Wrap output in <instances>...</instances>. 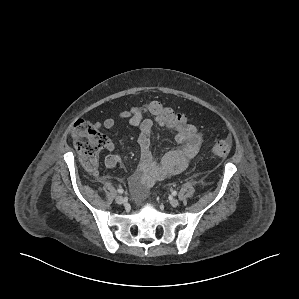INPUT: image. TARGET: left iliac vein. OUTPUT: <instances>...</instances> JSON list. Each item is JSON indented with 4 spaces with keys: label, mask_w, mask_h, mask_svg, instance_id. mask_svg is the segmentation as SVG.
Listing matches in <instances>:
<instances>
[{
    "label": "left iliac vein",
    "mask_w": 299,
    "mask_h": 299,
    "mask_svg": "<svg viewBox=\"0 0 299 299\" xmlns=\"http://www.w3.org/2000/svg\"><path fill=\"white\" fill-rule=\"evenodd\" d=\"M170 204L173 206V207H177L179 205V201L177 199H171L170 201Z\"/></svg>",
    "instance_id": "4c4485c4"
}]
</instances>
